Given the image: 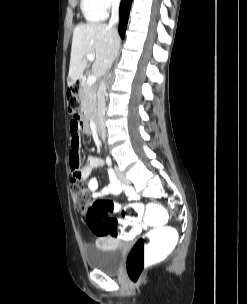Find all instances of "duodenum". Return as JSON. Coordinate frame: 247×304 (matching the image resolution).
I'll list each match as a JSON object with an SVG mask.
<instances>
[{
    "mask_svg": "<svg viewBox=\"0 0 247 304\" xmlns=\"http://www.w3.org/2000/svg\"><path fill=\"white\" fill-rule=\"evenodd\" d=\"M77 86L79 87V89H84L85 87L81 85V79H78L76 82ZM95 119H99V116H94V119L91 120L92 124H95L97 127V129L99 130L101 127L99 126L100 124L98 123V121H96Z\"/></svg>",
    "mask_w": 247,
    "mask_h": 304,
    "instance_id": "1",
    "label": "duodenum"
}]
</instances>
